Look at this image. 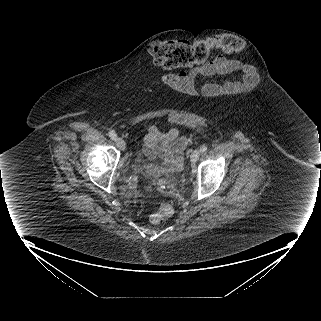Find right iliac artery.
Listing matches in <instances>:
<instances>
[{"label": "right iliac artery", "mask_w": 321, "mask_h": 321, "mask_svg": "<svg viewBox=\"0 0 321 321\" xmlns=\"http://www.w3.org/2000/svg\"><path fill=\"white\" fill-rule=\"evenodd\" d=\"M109 137H110L112 140H116V139H117V135H116V133L113 132V131H110V132H109Z\"/></svg>", "instance_id": "right-iliac-artery-1"}]
</instances>
